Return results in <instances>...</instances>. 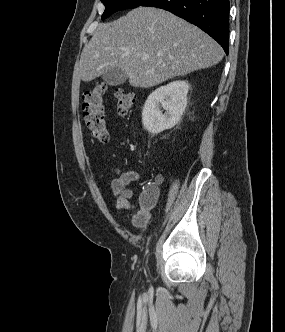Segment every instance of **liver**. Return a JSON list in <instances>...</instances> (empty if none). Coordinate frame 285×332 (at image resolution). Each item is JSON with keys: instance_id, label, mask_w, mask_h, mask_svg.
<instances>
[{"instance_id": "1", "label": "liver", "mask_w": 285, "mask_h": 332, "mask_svg": "<svg viewBox=\"0 0 285 332\" xmlns=\"http://www.w3.org/2000/svg\"><path fill=\"white\" fill-rule=\"evenodd\" d=\"M223 55L222 47L198 27L163 9L138 7L98 25L82 51L79 75L89 82L120 68L131 86L149 88L212 67Z\"/></svg>"}]
</instances>
